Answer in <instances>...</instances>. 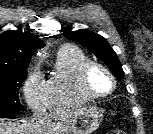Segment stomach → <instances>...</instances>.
Wrapping results in <instances>:
<instances>
[{"instance_id": "1", "label": "stomach", "mask_w": 153, "mask_h": 134, "mask_svg": "<svg viewBox=\"0 0 153 134\" xmlns=\"http://www.w3.org/2000/svg\"><path fill=\"white\" fill-rule=\"evenodd\" d=\"M103 118V110L97 107L80 109L70 126L72 134H91L99 127Z\"/></svg>"}]
</instances>
